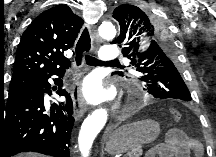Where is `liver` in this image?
<instances>
[{"label": "liver", "instance_id": "1", "mask_svg": "<svg viewBox=\"0 0 216 157\" xmlns=\"http://www.w3.org/2000/svg\"><path fill=\"white\" fill-rule=\"evenodd\" d=\"M18 157H42V155L38 153H22Z\"/></svg>", "mask_w": 216, "mask_h": 157}]
</instances>
